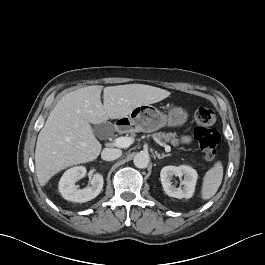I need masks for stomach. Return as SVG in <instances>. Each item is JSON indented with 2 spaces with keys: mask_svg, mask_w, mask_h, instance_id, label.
<instances>
[{
  "mask_svg": "<svg viewBox=\"0 0 265 265\" xmlns=\"http://www.w3.org/2000/svg\"><path fill=\"white\" fill-rule=\"evenodd\" d=\"M188 114L181 108L174 106L168 114L160 112L152 105H142L136 107L131 113L123 118L122 128L136 132H153L164 126L178 127L187 122Z\"/></svg>",
  "mask_w": 265,
  "mask_h": 265,
  "instance_id": "0dacf381",
  "label": "stomach"
}]
</instances>
